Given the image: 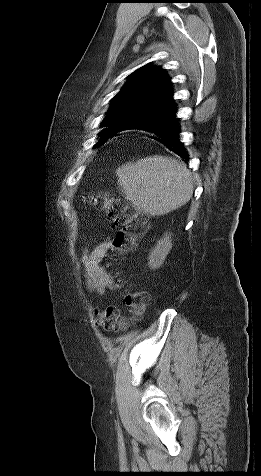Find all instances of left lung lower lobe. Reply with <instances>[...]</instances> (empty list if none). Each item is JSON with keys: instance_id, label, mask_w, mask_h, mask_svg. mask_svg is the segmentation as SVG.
<instances>
[{"instance_id": "obj_1", "label": "left lung lower lobe", "mask_w": 261, "mask_h": 476, "mask_svg": "<svg viewBox=\"0 0 261 476\" xmlns=\"http://www.w3.org/2000/svg\"><path fill=\"white\" fill-rule=\"evenodd\" d=\"M177 109L174 107L172 110L167 111L160 116L151 118H145L140 121H134L126 126L118 127L105 133L102 140L99 141V145L103 143L105 139H108L121 130L126 129H142L153 133V139L162 143L170 151L178 154L184 159H188V154L182 146L179 139V126L178 118H176Z\"/></svg>"}]
</instances>
